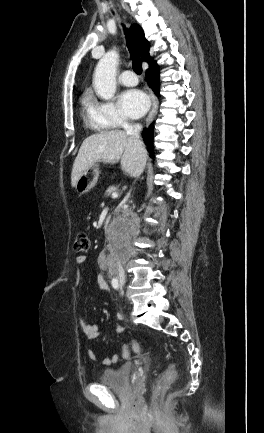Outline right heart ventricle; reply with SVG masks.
<instances>
[{
	"label": "right heart ventricle",
	"mask_w": 264,
	"mask_h": 433,
	"mask_svg": "<svg viewBox=\"0 0 264 433\" xmlns=\"http://www.w3.org/2000/svg\"><path fill=\"white\" fill-rule=\"evenodd\" d=\"M83 117L88 127L94 131H104L107 129L100 119L96 116L93 110V102L88 95L82 97Z\"/></svg>",
	"instance_id": "right-heart-ventricle-1"
}]
</instances>
